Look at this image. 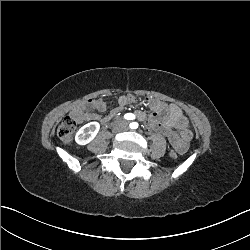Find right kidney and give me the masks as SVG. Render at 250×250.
Masks as SVG:
<instances>
[{"label": "right kidney", "instance_id": "obj_1", "mask_svg": "<svg viewBox=\"0 0 250 250\" xmlns=\"http://www.w3.org/2000/svg\"><path fill=\"white\" fill-rule=\"evenodd\" d=\"M99 130L98 122H90L82 126L76 134V142L79 144H86L90 142Z\"/></svg>", "mask_w": 250, "mask_h": 250}]
</instances>
